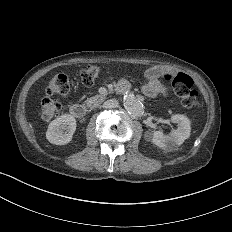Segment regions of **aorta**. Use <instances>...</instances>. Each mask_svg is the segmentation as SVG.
Returning <instances> with one entry per match:
<instances>
[{
    "mask_svg": "<svg viewBox=\"0 0 232 232\" xmlns=\"http://www.w3.org/2000/svg\"><path fill=\"white\" fill-rule=\"evenodd\" d=\"M124 107L132 116H140L144 111L142 102L130 92L124 95Z\"/></svg>",
    "mask_w": 232,
    "mask_h": 232,
    "instance_id": "762f6f07",
    "label": "aorta"
}]
</instances>
